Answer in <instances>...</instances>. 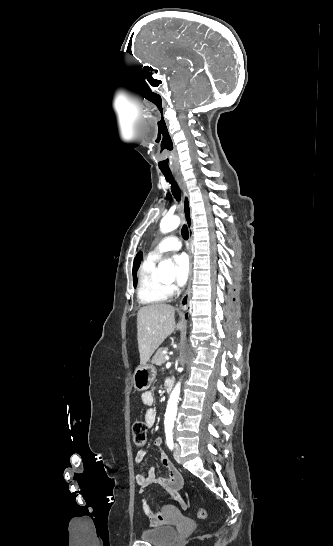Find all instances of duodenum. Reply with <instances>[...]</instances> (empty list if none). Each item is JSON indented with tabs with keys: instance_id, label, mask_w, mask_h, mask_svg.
I'll list each match as a JSON object with an SVG mask.
<instances>
[{
	"instance_id": "obj_1",
	"label": "duodenum",
	"mask_w": 333,
	"mask_h": 546,
	"mask_svg": "<svg viewBox=\"0 0 333 546\" xmlns=\"http://www.w3.org/2000/svg\"><path fill=\"white\" fill-rule=\"evenodd\" d=\"M174 382H175V380L173 378H171V377L166 379L165 386H166V389H167L168 392H171L173 390Z\"/></svg>"
}]
</instances>
